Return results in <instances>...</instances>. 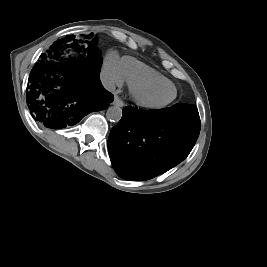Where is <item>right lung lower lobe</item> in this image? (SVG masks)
<instances>
[{
  "label": "right lung lower lobe",
  "instance_id": "98d812e1",
  "mask_svg": "<svg viewBox=\"0 0 267 267\" xmlns=\"http://www.w3.org/2000/svg\"><path fill=\"white\" fill-rule=\"evenodd\" d=\"M65 47L62 44L42 54L27 85L26 101L33 119L50 129L73 126L113 101L99 80L101 57L83 52L65 60L61 57Z\"/></svg>",
  "mask_w": 267,
  "mask_h": 267
}]
</instances>
